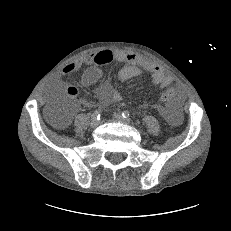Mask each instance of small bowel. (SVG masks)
Wrapping results in <instances>:
<instances>
[{
    "label": "small bowel",
    "mask_w": 231,
    "mask_h": 231,
    "mask_svg": "<svg viewBox=\"0 0 231 231\" xmlns=\"http://www.w3.org/2000/svg\"><path fill=\"white\" fill-rule=\"evenodd\" d=\"M112 61L125 63V65L118 71L117 78L120 81H126L144 73H149L152 83L163 89L168 87L173 81V76L166 74L165 70L154 63L147 61L145 58L134 54L124 52L122 50H102L90 53L84 58L71 62L64 66L62 73L69 75L77 72L81 67L87 66L81 75L80 82L87 87L98 81L102 75L101 67ZM54 89H64L68 96L74 98L78 94V89L74 86H65L63 81L57 79L54 81ZM98 104L105 107L111 103L122 100L120 93L115 90L108 82L104 83L97 89ZM80 105H89L87 102H80ZM158 111L168 120V122L175 126L180 121V112L176 102H170L166 106H159ZM66 120L60 123L64 125Z\"/></svg>",
    "instance_id": "c3829d8e"
}]
</instances>
